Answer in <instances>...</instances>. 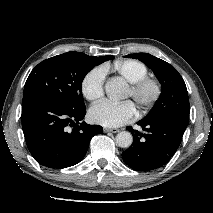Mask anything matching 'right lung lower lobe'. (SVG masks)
<instances>
[{
  "label": "right lung lower lobe",
  "instance_id": "obj_1",
  "mask_svg": "<svg viewBox=\"0 0 213 213\" xmlns=\"http://www.w3.org/2000/svg\"><path fill=\"white\" fill-rule=\"evenodd\" d=\"M85 114L86 108L71 111L39 93L23 95L22 128L34 159L56 169L79 163L91 138L103 132L99 125L81 122Z\"/></svg>",
  "mask_w": 213,
  "mask_h": 213
}]
</instances>
